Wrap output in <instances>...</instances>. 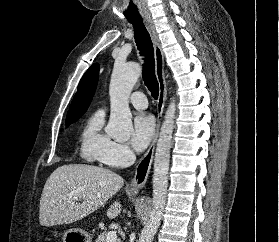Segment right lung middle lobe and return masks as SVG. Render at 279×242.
<instances>
[{
    "mask_svg": "<svg viewBox=\"0 0 279 242\" xmlns=\"http://www.w3.org/2000/svg\"><path fill=\"white\" fill-rule=\"evenodd\" d=\"M75 122V121H74ZM74 122H68L66 123V126H69L70 124L74 123Z\"/></svg>",
    "mask_w": 279,
    "mask_h": 242,
    "instance_id": "1",
    "label": "right lung middle lobe"
}]
</instances>
